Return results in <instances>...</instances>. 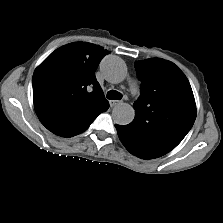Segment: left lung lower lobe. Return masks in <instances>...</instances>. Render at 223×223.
I'll return each instance as SVG.
<instances>
[{
    "instance_id": "1",
    "label": "left lung lower lobe",
    "mask_w": 223,
    "mask_h": 223,
    "mask_svg": "<svg viewBox=\"0 0 223 223\" xmlns=\"http://www.w3.org/2000/svg\"><path fill=\"white\" fill-rule=\"evenodd\" d=\"M117 128L118 136L125 146V148L133 155L142 158V159H153L158 158L160 156H163L164 154L158 151H154L152 149H149L147 147L133 144L129 141V136L126 134L124 130V126L115 125Z\"/></svg>"
}]
</instances>
